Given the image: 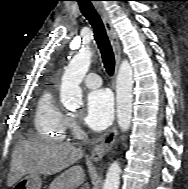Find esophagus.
I'll return each mask as SVG.
<instances>
[{"label":"esophagus","instance_id":"34e87169","mask_svg":"<svg viewBox=\"0 0 188 189\" xmlns=\"http://www.w3.org/2000/svg\"><path fill=\"white\" fill-rule=\"evenodd\" d=\"M93 4L102 18L106 32L108 34V37L112 45V49L115 56V78H116L121 60V49H120L119 39L113 27L111 19L107 11L105 10L103 4L100 1H94ZM116 136H117V127L116 125H114L108 136L100 144L94 147V149L91 152V159L95 162L101 160L104 157V155L112 148Z\"/></svg>","mask_w":188,"mask_h":189}]
</instances>
